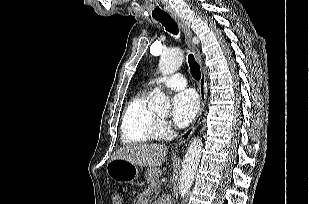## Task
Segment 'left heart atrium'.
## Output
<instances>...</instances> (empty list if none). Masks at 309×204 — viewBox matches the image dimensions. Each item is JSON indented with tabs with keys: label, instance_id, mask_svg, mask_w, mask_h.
Instances as JSON below:
<instances>
[{
	"label": "left heart atrium",
	"instance_id": "1",
	"mask_svg": "<svg viewBox=\"0 0 309 204\" xmlns=\"http://www.w3.org/2000/svg\"><path fill=\"white\" fill-rule=\"evenodd\" d=\"M199 109V99L192 90L177 93L172 101V118L179 127L188 125L196 116Z\"/></svg>",
	"mask_w": 309,
	"mask_h": 204
}]
</instances>
